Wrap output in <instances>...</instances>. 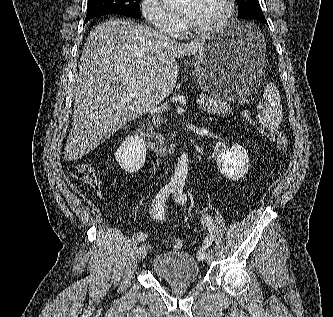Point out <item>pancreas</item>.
Returning a JSON list of instances; mask_svg holds the SVG:
<instances>
[{"label": "pancreas", "instance_id": "pancreas-1", "mask_svg": "<svg viewBox=\"0 0 333 317\" xmlns=\"http://www.w3.org/2000/svg\"><path fill=\"white\" fill-rule=\"evenodd\" d=\"M201 109L207 111L211 114H218V115H227L231 113L232 108L229 104L225 102H221L220 100L213 99L211 97H207L206 103L201 106ZM152 121L154 124L160 123L162 120L160 117L153 116Z\"/></svg>", "mask_w": 333, "mask_h": 317}]
</instances>
